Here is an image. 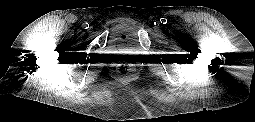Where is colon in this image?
I'll list each match as a JSON object with an SVG mask.
<instances>
[{
	"mask_svg": "<svg viewBox=\"0 0 255 122\" xmlns=\"http://www.w3.org/2000/svg\"><path fill=\"white\" fill-rule=\"evenodd\" d=\"M118 72L122 77L128 78L133 75L134 69L130 64H122L120 65Z\"/></svg>",
	"mask_w": 255,
	"mask_h": 122,
	"instance_id": "obj_1",
	"label": "colon"
}]
</instances>
